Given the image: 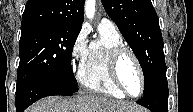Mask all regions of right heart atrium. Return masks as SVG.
I'll use <instances>...</instances> for the list:
<instances>
[{
	"label": "right heart atrium",
	"instance_id": "right-heart-atrium-1",
	"mask_svg": "<svg viewBox=\"0 0 193 112\" xmlns=\"http://www.w3.org/2000/svg\"><path fill=\"white\" fill-rule=\"evenodd\" d=\"M88 50V31L82 27L75 36L69 54L70 66L73 71L81 68Z\"/></svg>",
	"mask_w": 193,
	"mask_h": 112
}]
</instances>
